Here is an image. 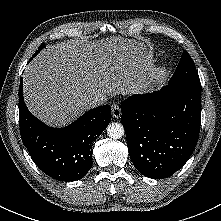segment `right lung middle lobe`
<instances>
[{
    "label": "right lung middle lobe",
    "instance_id": "1",
    "mask_svg": "<svg viewBox=\"0 0 221 221\" xmlns=\"http://www.w3.org/2000/svg\"><path fill=\"white\" fill-rule=\"evenodd\" d=\"M44 47V43H42V45H40V47L38 48V51L35 52V54L33 55V57L35 55H37L39 53L40 50H42V48Z\"/></svg>",
    "mask_w": 221,
    "mask_h": 221
}]
</instances>
